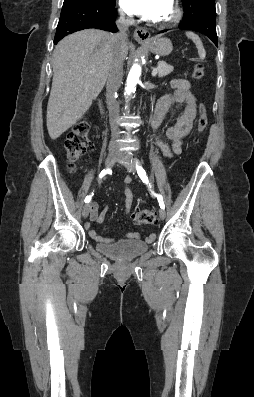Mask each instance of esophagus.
I'll list each match as a JSON object with an SVG mask.
<instances>
[{"label": "esophagus", "mask_w": 254, "mask_h": 397, "mask_svg": "<svg viewBox=\"0 0 254 397\" xmlns=\"http://www.w3.org/2000/svg\"><path fill=\"white\" fill-rule=\"evenodd\" d=\"M150 32L142 27H138L134 31V38L139 43H147L150 41Z\"/></svg>", "instance_id": "34e87169"}]
</instances>
